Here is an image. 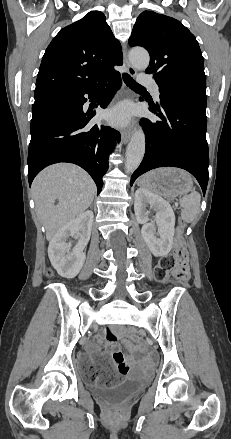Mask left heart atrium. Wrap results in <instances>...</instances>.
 Wrapping results in <instances>:
<instances>
[{"label":"left heart atrium","mask_w":231,"mask_h":439,"mask_svg":"<svg viewBox=\"0 0 231 439\" xmlns=\"http://www.w3.org/2000/svg\"><path fill=\"white\" fill-rule=\"evenodd\" d=\"M130 111L129 108L125 105H119L109 111L106 112L105 118L106 120L117 126L125 125L129 121Z\"/></svg>","instance_id":"left-heart-atrium-1"}]
</instances>
